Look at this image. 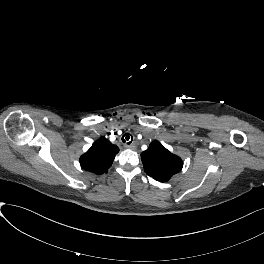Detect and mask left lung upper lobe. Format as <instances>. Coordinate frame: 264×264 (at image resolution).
I'll return each mask as SVG.
<instances>
[{
  "instance_id": "obj_1",
  "label": "left lung upper lobe",
  "mask_w": 264,
  "mask_h": 264,
  "mask_svg": "<svg viewBox=\"0 0 264 264\" xmlns=\"http://www.w3.org/2000/svg\"><path fill=\"white\" fill-rule=\"evenodd\" d=\"M141 159L145 172L160 182L169 181L183 167L181 158L172 154L158 141H153L149 148L142 152Z\"/></svg>"
}]
</instances>
